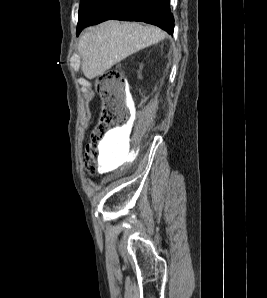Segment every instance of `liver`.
<instances>
[{"mask_svg": "<svg viewBox=\"0 0 267 298\" xmlns=\"http://www.w3.org/2000/svg\"><path fill=\"white\" fill-rule=\"evenodd\" d=\"M164 37L158 27L115 20L86 29L78 42L83 74L88 79L102 76L116 63Z\"/></svg>", "mask_w": 267, "mask_h": 298, "instance_id": "liver-1", "label": "liver"}]
</instances>
